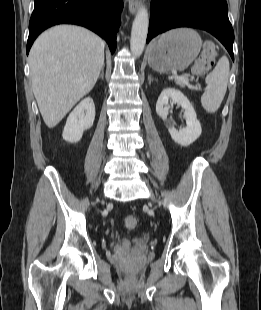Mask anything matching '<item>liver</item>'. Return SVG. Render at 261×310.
<instances>
[{"label":"liver","instance_id":"liver-1","mask_svg":"<svg viewBox=\"0 0 261 310\" xmlns=\"http://www.w3.org/2000/svg\"><path fill=\"white\" fill-rule=\"evenodd\" d=\"M104 41L75 25H58L34 42L29 65L40 113L55 127L94 87L104 65Z\"/></svg>","mask_w":261,"mask_h":310}]
</instances>
